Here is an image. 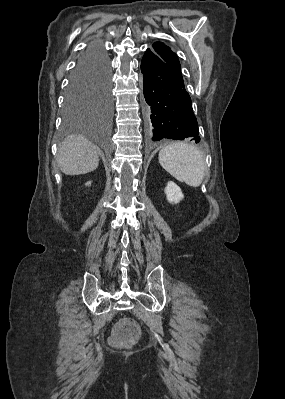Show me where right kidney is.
Wrapping results in <instances>:
<instances>
[{"instance_id":"1","label":"right kidney","mask_w":285,"mask_h":399,"mask_svg":"<svg viewBox=\"0 0 285 399\" xmlns=\"http://www.w3.org/2000/svg\"><path fill=\"white\" fill-rule=\"evenodd\" d=\"M89 185H91V182H87V183H86V186H89Z\"/></svg>"}]
</instances>
